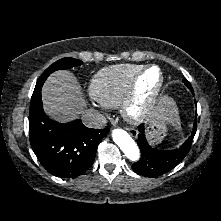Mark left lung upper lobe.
<instances>
[{
    "mask_svg": "<svg viewBox=\"0 0 221 221\" xmlns=\"http://www.w3.org/2000/svg\"><path fill=\"white\" fill-rule=\"evenodd\" d=\"M184 83L187 85L188 88L192 90L191 84L187 81V79H184Z\"/></svg>",
    "mask_w": 221,
    "mask_h": 221,
    "instance_id": "obj_1",
    "label": "left lung upper lobe"
}]
</instances>
